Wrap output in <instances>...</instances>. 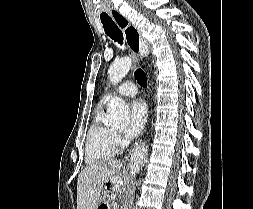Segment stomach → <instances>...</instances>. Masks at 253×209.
<instances>
[{"mask_svg":"<svg viewBox=\"0 0 253 209\" xmlns=\"http://www.w3.org/2000/svg\"><path fill=\"white\" fill-rule=\"evenodd\" d=\"M102 191H98V201L95 202L96 209H112L114 207V202L111 199L113 196L112 187H114V182L101 181Z\"/></svg>","mask_w":253,"mask_h":209,"instance_id":"stomach-1","label":"stomach"}]
</instances>
